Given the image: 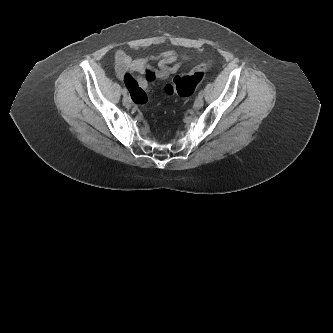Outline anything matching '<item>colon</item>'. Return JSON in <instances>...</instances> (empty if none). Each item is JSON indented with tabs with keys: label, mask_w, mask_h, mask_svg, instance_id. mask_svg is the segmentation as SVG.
<instances>
[{
	"label": "colon",
	"mask_w": 333,
	"mask_h": 333,
	"mask_svg": "<svg viewBox=\"0 0 333 333\" xmlns=\"http://www.w3.org/2000/svg\"><path fill=\"white\" fill-rule=\"evenodd\" d=\"M208 64L204 63L197 66L189 75H179L164 85L163 91L167 95L177 94L182 97L191 96L205 76Z\"/></svg>",
	"instance_id": "obj_1"
}]
</instances>
